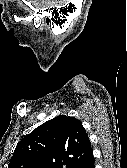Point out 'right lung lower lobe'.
Masks as SVG:
<instances>
[{
	"mask_svg": "<svg viewBox=\"0 0 127 168\" xmlns=\"http://www.w3.org/2000/svg\"><path fill=\"white\" fill-rule=\"evenodd\" d=\"M74 168H95L93 156L83 161L82 163L76 165Z\"/></svg>",
	"mask_w": 127,
	"mask_h": 168,
	"instance_id": "obj_1",
	"label": "right lung lower lobe"
}]
</instances>
